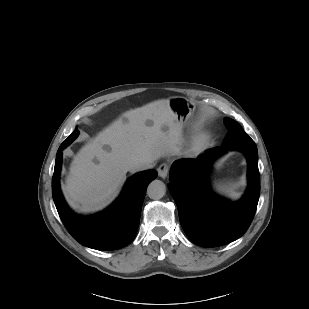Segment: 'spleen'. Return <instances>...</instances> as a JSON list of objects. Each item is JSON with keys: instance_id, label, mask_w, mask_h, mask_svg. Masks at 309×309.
I'll list each match as a JSON object with an SVG mask.
<instances>
[{"instance_id": "spleen-1", "label": "spleen", "mask_w": 309, "mask_h": 309, "mask_svg": "<svg viewBox=\"0 0 309 309\" xmlns=\"http://www.w3.org/2000/svg\"><path fill=\"white\" fill-rule=\"evenodd\" d=\"M215 189L222 195H225L229 198L236 199L239 197V193L236 192V186L232 183H216Z\"/></svg>"}]
</instances>
